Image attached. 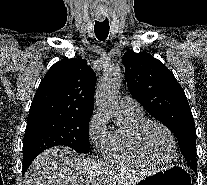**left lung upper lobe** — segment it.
Masks as SVG:
<instances>
[{"label":"left lung upper lobe","instance_id":"5c2ea615","mask_svg":"<svg viewBox=\"0 0 207 185\" xmlns=\"http://www.w3.org/2000/svg\"><path fill=\"white\" fill-rule=\"evenodd\" d=\"M122 61L131 95L174 133L190 167L197 165L193 115L185 92L173 73L148 53L129 50Z\"/></svg>","mask_w":207,"mask_h":185}]
</instances>
